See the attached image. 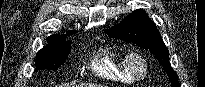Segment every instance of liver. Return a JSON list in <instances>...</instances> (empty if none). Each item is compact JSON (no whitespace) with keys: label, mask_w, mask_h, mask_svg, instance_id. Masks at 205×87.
Wrapping results in <instances>:
<instances>
[{"label":"liver","mask_w":205,"mask_h":87,"mask_svg":"<svg viewBox=\"0 0 205 87\" xmlns=\"http://www.w3.org/2000/svg\"><path fill=\"white\" fill-rule=\"evenodd\" d=\"M80 87H102L101 85H97V84H84Z\"/></svg>","instance_id":"obj_1"}]
</instances>
